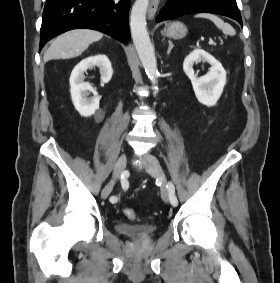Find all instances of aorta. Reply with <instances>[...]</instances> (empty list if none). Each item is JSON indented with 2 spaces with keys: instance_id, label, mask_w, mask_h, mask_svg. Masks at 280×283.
Instances as JSON below:
<instances>
[{
  "instance_id": "obj_1",
  "label": "aorta",
  "mask_w": 280,
  "mask_h": 283,
  "mask_svg": "<svg viewBox=\"0 0 280 283\" xmlns=\"http://www.w3.org/2000/svg\"><path fill=\"white\" fill-rule=\"evenodd\" d=\"M149 0H136L130 15V29L133 43L145 72L157 90L159 72L153 46L147 31L146 13Z\"/></svg>"
}]
</instances>
